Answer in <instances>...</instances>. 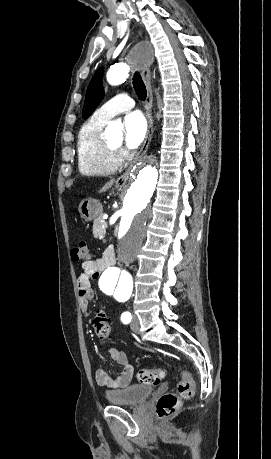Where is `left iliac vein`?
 <instances>
[{
  "instance_id": "4c4485c4",
  "label": "left iliac vein",
  "mask_w": 271,
  "mask_h": 459,
  "mask_svg": "<svg viewBox=\"0 0 271 459\" xmlns=\"http://www.w3.org/2000/svg\"><path fill=\"white\" fill-rule=\"evenodd\" d=\"M130 325H131V329H132L133 332L138 333V334L140 333V331H139V320H138L137 315H133V319H132Z\"/></svg>"
}]
</instances>
